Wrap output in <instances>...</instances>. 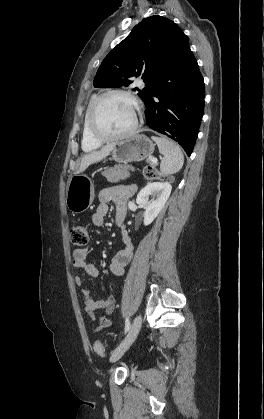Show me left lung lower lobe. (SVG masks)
Instances as JSON below:
<instances>
[{"label": "left lung lower lobe", "mask_w": 264, "mask_h": 419, "mask_svg": "<svg viewBox=\"0 0 264 419\" xmlns=\"http://www.w3.org/2000/svg\"><path fill=\"white\" fill-rule=\"evenodd\" d=\"M172 66L145 100L149 128L178 142L191 155L204 109V80L183 33L171 43Z\"/></svg>", "instance_id": "obj_1"}]
</instances>
